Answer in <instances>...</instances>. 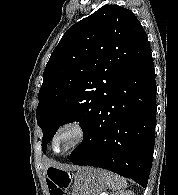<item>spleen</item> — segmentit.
Segmentation results:
<instances>
[{
  "label": "spleen",
  "instance_id": "spleen-1",
  "mask_svg": "<svg viewBox=\"0 0 178 195\" xmlns=\"http://www.w3.org/2000/svg\"><path fill=\"white\" fill-rule=\"evenodd\" d=\"M98 172L102 175L106 185L114 191L121 190L127 187V181L121 176L112 172L98 169Z\"/></svg>",
  "mask_w": 178,
  "mask_h": 195
}]
</instances>
